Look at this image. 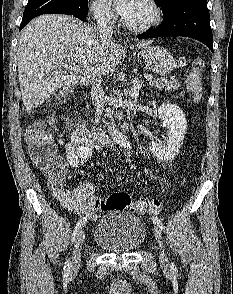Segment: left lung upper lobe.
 <instances>
[{"label":"left lung upper lobe","mask_w":233,"mask_h":294,"mask_svg":"<svg viewBox=\"0 0 233 294\" xmlns=\"http://www.w3.org/2000/svg\"><path fill=\"white\" fill-rule=\"evenodd\" d=\"M154 1H155V3L160 5L163 13H165L169 9H171V7H173L175 4L182 2V1H187V0H154ZM192 1L207 3V0H192Z\"/></svg>","instance_id":"5c2ea615"}]
</instances>
